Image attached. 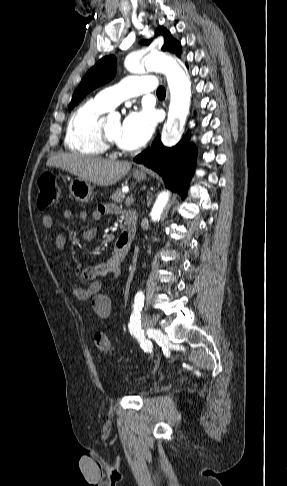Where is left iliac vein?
I'll use <instances>...</instances> for the list:
<instances>
[{
    "mask_svg": "<svg viewBox=\"0 0 287 486\" xmlns=\"http://www.w3.org/2000/svg\"><path fill=\"white\" fill-rule=\"evenodd\" d=\"M155 323H156L155 318L148 316V315H143V318H142L143 327L145 329L151 331V333L153 334L154 337L159 338L161 340L165 339L166 336L163 334V332L159 329L154 328Z\"/></svg>",
    "mask_w": 287,
    "mask_h": 486,
    "instance_id": "1",
    "label": "left iliac vein"
}]
</instances>
